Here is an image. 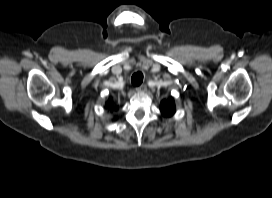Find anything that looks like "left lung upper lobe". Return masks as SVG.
<instances>
[{
    "label": "left lung upper lobe",
    "mask_w": 272,
    "mask_h": 198,
    "mask_svg": "<svg viewBox=\"0 0 272 198\" xmlns=\"http://www.w3.org/2000/svg\"><path fill=\"white\" fill-rule=\"evenodd\" d=\"M160 110L164 116H172L175 113L173 98H170L167 101L163 100L160 105Z\"/></svg>",
    "instance_id": "obj_1"
}]
</instances>
